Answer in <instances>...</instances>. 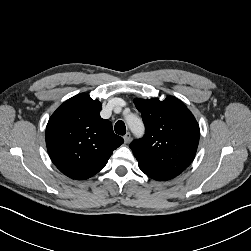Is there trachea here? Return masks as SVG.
<instances>
[{"label": "trachea", "mask_w": 251, "mask_h": 251, "mask_svg": "<svg viewBox=\"0 0 251 251\" xmlns=\"http://www.w3.org/2000/svg\"><path fill=\"white\" fill-rule=\"evenodd\" d=\"M114 129L118 135H125L126 133V126L121 120L116 122Z\"/></svg>", "instance_id": "3493384b"}]
</instances>
